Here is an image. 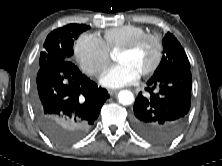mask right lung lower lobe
I'll use <instances>...</instances> for the list:
<instances>
[{
    "instance_id": "obj_1",
    "label": "right lung lower lobe",
    "mask_w": 222,
    "mask_h": 166,
    "mask_svg": "<svg viewBox=\"0 0 222 166\" xmlns=\"http://www.w3.org/2000/svg\"><path fill=\"white\" fill-rule=\"evenodd\" d=\"M109 98L69 60L39 68L32 91L33 109L42 131L59 144L82 138Z\"/></svg>"
}]
</instances>
